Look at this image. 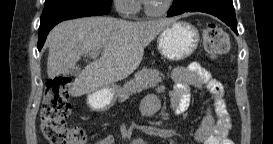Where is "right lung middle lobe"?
Masks as SVG:
<instances>
[{
  "mask_svg": "<svg viewBox=\"0 0 273 144\" xmlns=\"http://www.w3.org/2000/svg\"><path fill=\"white\" fill-rule=\"evenodd\" d=\"M55 1H57V0H46L44 6L46 7V6H48L49 4H51V3L55 2Z\"/></svg>",
  "mask_w": 273,
  "mask_h": 144,
  "instance_id": "obj_1",
  "label": "right lung middle lobe"
}]
</instances>
